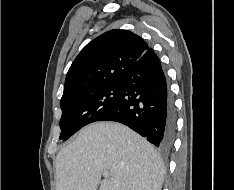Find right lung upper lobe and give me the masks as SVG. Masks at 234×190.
<instances>
[{
    "instance_id": "right-lung-upper-lobe-1",
    "label": "right lung upper lobe",
    "mask_w": 234,
    "mask_h": 190,
    "mask_svg": "<svg viewBox=\"0 0 234 190\" xmlns=\"http://www.w3.org/2000/svg\"><path fill=\"white\" fill-rule=\"evenodd\" d=\"M150 48L127 30H110L88 43L68 70L64 101L84 91L118 83L127 69Z\"/></svg>"
}]
</instances>
